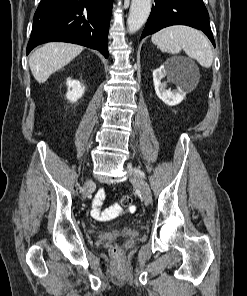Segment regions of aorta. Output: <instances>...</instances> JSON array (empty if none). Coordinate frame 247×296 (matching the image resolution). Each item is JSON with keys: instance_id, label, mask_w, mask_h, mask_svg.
<instances>
[{"instance_id": "762f6f07", "label": "aorta", "mask_w": 247, "mask_h": 296, "mask_svg": "<svg viewBox=\"0 0 247 296\" xmlns=\"http://www.w3.org/2000/svg\"><path fill=\"white\" fill-rule=\"evenodd\" d=\"M151 11V0H132L127 28L129 33H135L146 22Z\"/></svg>"}]
</instances>
